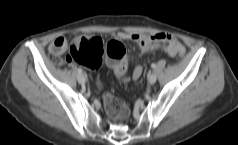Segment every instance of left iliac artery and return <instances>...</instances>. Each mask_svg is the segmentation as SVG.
Listing matches in <instances>:
<instances>
[{"mask_svg":"<svg viewBox=\"0 0 238 145\" xmlns=\"http://www.w3.org/2000/svg\"><path fill=\"white\" fill-rule=\"evenodd\" d=\"M151 67H152L153 69H155V68H156V65L153 63V64L151 65Z\"/></svg>","mask_w":238,"mask_h":145,"instance_id":"left-iliac-artery-1","label":"left iliac artery"}]
</instances>
